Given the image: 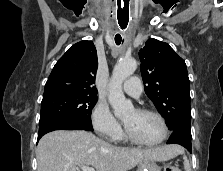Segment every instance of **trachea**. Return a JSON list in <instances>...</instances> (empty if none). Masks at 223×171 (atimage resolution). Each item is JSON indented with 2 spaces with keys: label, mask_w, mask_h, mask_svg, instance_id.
Masks as SVG:
<instances>
[{
  "label": "trachea",
  "mask_w": 223,
  "mask_h": 171,
  "mask_svg": "<svg viewBox=\"0 0 223 171\" xmlns=\"http://www.w3.org/2000/svg\"><path fill=\"white\" fill-rule=\"evenodd\" d=\"M121 10V9H120ZM121 41H122V38L120 36H115V43L117 45H120L121 44Z\"/></svg>",
  "instance_id": "1"
}]
</instances>
